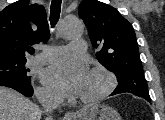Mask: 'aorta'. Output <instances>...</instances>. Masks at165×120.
I'll return each instance as SVG.
<instances>
[{"label":"aorta","instance_id":"762f6f07","mask_svg":"<svg viewBox=\"0 0 165 120\" xmlns=\"http://www.w3.org/2000/svg\"><path fill=\"white\" fill-rule=\"evenodd\" d=\"M83 33L82 22L75 17L67 18L63 21L60 34L66 39L78 38Z\"/></svg>","mask_w":165,"mask_h":120}]
</instances>
